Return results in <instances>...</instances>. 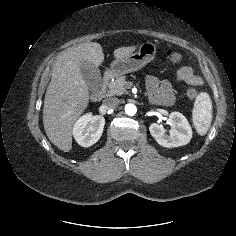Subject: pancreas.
I'll use <instances>...</instances> for the list:
<instances>
[{
  "mask_svg": "<svg viewBox=\"0 0 236 236\" xmlns=\"http://www.w3.org/2000/svg\"><path fill=\"white\" fill-rule=\"evenodd\" d=\"M125 76L117 77L114 81L110 82L108 85L107 95L114 96V95H122L127 94V86L128 83L125 81Z\"/></svg>",
  "mask_w": 236,
  "mask_h": 236,
  "instance_id": "cf45deb5",
  "label": "pancreas"
}]
</instances>
